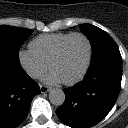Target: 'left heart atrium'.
Instances as JSON below:
<instances>
[{"label": "left heart atrium", "instance_id": "obj_1", "mask_svg": "<svg viewBox=\"0 0 128 128\" xmlns=\"http://www.w3.org/2000/svg\"><path fill=\"white\" fill-rule=\"evenodd\" d=\"M43 80L47 84H57L62 82L61 79L57 76V74L53 71H50L48 74H46Z\"/></svg>", "mask_w": 128, "mask_h": 128}]
</instances>
